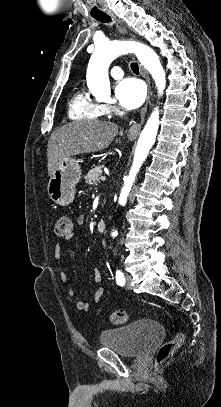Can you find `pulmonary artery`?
<instances>
[{
  "label": "pulmonary artery",
  "instance_id": "pulmonary-artery-1",
  "mask_svg": "<svg viewBox=\"0 0 221 407\" xmlns=\"http://www.w3.org/2000/svg\"><path fill=\"white\" fill-rule=\"evenodd\" d=\"M110 74L115 79H120L124 76V72H123L122 68L119 66L112 67Z\"/></svg>",
  "mask_w": 221,
  "mask_h": 407
}]
</instances>
